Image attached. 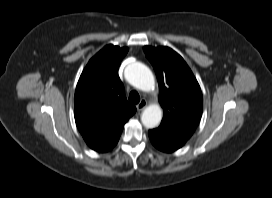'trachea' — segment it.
<instances>
[{
	"mask_svg": "<svg viewBox=\"0 0 272 198\" xmlns=\"http://www.w3.org/2000/svg\"><path fill=\"white\" fill-rule=\"evenodd\" d=\"M129 101L132 104H138L140 101V96L136 91H131L129 94Z\"/></svg>",
	"mask_w": 272,
	"mask_h": 198,
	"instance_id": "trachea-1",
	"label": "trachea"
}]
</instances>
